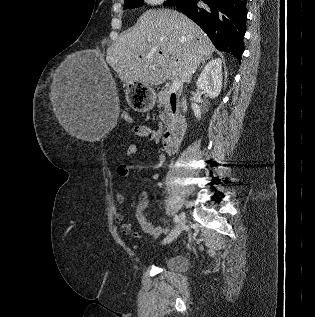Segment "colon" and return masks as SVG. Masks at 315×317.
<instances>
[{
    "label": "colon",
    "instance_id": "obj_1",
    "mask_svg": "<svg viewBox=\"0 0 315 317\" xmlns=\"http://www.w3.org/2000/svg\"><path fill=\"white\" fill-rule=\"evenodd\" d=\"M122 117H123V119H124L126 122H128V123H133L132 117H131L130 115H128L127 113H124V114L122 115Z\"/></svg>",
    "mask_w": 315,
    "mask_h": 317
}]
</instances>
